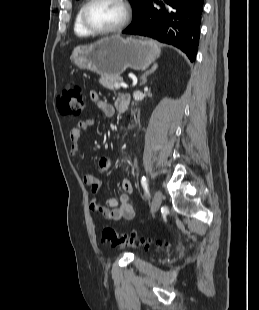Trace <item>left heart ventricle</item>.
Returning a JSON list of instances; mask_svg holds the SVG:
<instances>
[{
    "instance_id": "b2bd125f",
    "label": "left heart ventricle",
    "mask_w": 259,
    "mask_h": 310,
    "mask_svg": "<svg viewBox=\"0 0 259 310\" xmlns=\"http://www.w3.org/2000/svg\"><path fill=\"white\" fill-rule=\"evenodd\" d=\"M123 15V8L116 0H96L87 12L90 24L99 29H108L118 25Z\"/></svg>"
}]
</instances>
